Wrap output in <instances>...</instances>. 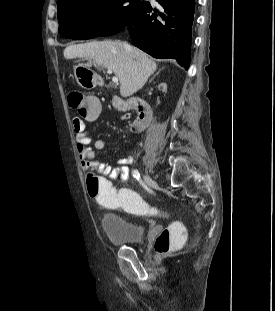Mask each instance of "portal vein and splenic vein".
I'll return each instance as SVG.
<instances>
[{"instance_id":"18ae733b","label":"portal vein and splenic vein","mask_w":275,"mask_h":311,"mask_svg":"<svg viewBox=\"0 0 275 311\" xmlns=\"http://www.w3.org/2000/svg\"><path fill=\"white\" fill-rule=\"evenodd\" d=\"M107 72H108L109 74L112 73L111 70H107ZM112 82H113V83H118V78H117V77H112Z\"/></svg>"}]
</instances>
